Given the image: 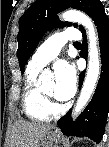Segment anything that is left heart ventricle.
<instances>
[{
    "mask_svg": "<svg viewBox=\"0 0 109 147\" xmlns=\"http://www.w3.org/2000/svg\"><path fill=\"white\" fill-rule=\"evenodd\" d=\"M54 85H55V82L53 80H51L42 89L45 92L52 94L53 93V89H54Z\"/></svg>",
    "mask_w": 109,
    "mask_h": 147,
    "instance_id": "obj_1",
    "label": "left heart ventricle"
}]
</instances>
